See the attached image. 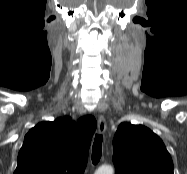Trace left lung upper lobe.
I'll return each mask as SVG.
<instances>
[{
	"label": "left lung upper lobe",
	"instance_id": "5c2ea615",
	"mask_svg": "<svg viewBox=\"0 0 187 174\" xmlns=\"http://www.w3.org/2000/svg\"><path fill=\"white\" fill-rule=\"evenodd\" d=\"M115 174H174L163 141L142 125L121 123L113 139Z\"/></svg>",
	"mask_w": 187,
	"mask_h": 174
}]
</instances>
